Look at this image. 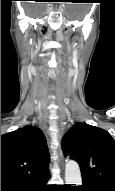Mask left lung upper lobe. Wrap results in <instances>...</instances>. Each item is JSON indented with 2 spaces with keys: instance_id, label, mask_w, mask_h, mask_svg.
Segmentation results:
<instances>
[{
  "instance_id": "1",
  "label": "left lung upper lobe",
  "mask_w": 115,
  "mask_h": 191,
  "mask_svg": "<svg viewBox=\"0 0 115 191\" xmlns=\"http://www.w3.org/2000/svg\"><path fill=\"white\" fill-rule=\"evenodd\" d=\"M62 148L79 163L83 184L115 191V141L106 130L75 123L63 137Z\"/></svg>"
}]
</instances>
